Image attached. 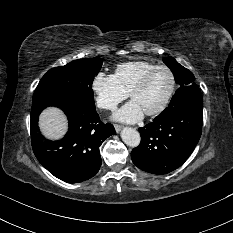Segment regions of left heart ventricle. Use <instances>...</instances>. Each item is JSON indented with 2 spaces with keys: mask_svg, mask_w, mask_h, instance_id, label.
I'll use <instances>...</instances> for the list:
<instances>
[{
  "mask_svg": "<svg viewBox=\"0 0 233 233\" xmlns=\"http://www.w3.org/2000/svg\"><path fill=\"white\" fill-rule=\"evenodd\" d=\"M171 86V77L165 70L155 72L148 80L145 87L134 94L135 101L144 113L158 108L167 96Z\"/></svg>",
  "mask_w": 233,
  "mask_h": 233,
  "instance_id": "b2bd125f",
  "label": "left heart ventricle"
}]
</instances>
